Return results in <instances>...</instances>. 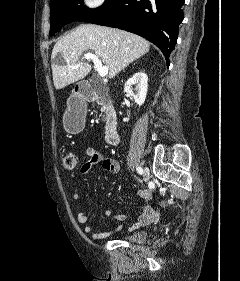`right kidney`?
<instances>
[{
	"label": "right kidney",
	"mask_w": 240,
	"mask_h": 281,
	"mask_svg": "<svg viewBox=\"0 0 240 281\" xmlns=\"http://www.w3.org/2000/svg\"><path fill=\"white\" fill-rule=\"evenodd\" d=\"M134 86H136V93H134ZM147 89L148 77L144 72L135 73L133 77L127 80L124 86V92L127 95L132 96L135 100V103H137L139 107L145 102Z\"/></svg>",
	"instance_id": "right-kidney-1"
}]
</instances>
